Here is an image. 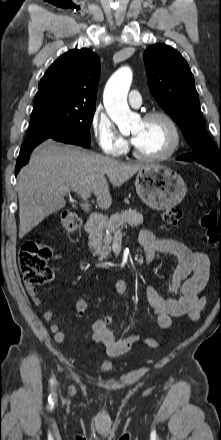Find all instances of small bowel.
I'll list each match as a JSON object with an SVG mask.
<instances>
[{
	"instance_id": "1",
	"label": "small bowel",
	"mask_w": 221,
	"mask_h": 440,
	"mask_svg": "<svg viewBox=\"0 0 221 440\" xmlns=\"http://www.w3.org/2000/svg\"><path fill=\"white\" fill-rule=\"evenodd\" d=\"M139 243L144 249L145 259L151 261L156 254H170L178 259V266L173 271L169 282V297L161 296L152 286L145 285L143 295L153 310L156 325L162 330H168L172 325V318L187 316L192 322L199 320L206 305V299L200 297V292L206 286L210 275V261L203 252H195L183 243L172 239L156 238L149 230H142L139 235ZM26 291L31 302L39 307L42 299L38 296L35 287L25 283ZM116 291L124 295L129 290L126 280L120 279L115 285ZM53 312L44 311L42 318L50 321ZM94 343H102L106 352L111 356H119L130 351L136 344L143 343L156 347L154 338L144 336L140 332H129L124 337L118 338L109 328V324L103 323V318L93 323ZM56 342L63 344L66 334L58 324L50 326Z\"/></svg>"
}]
</instances>
